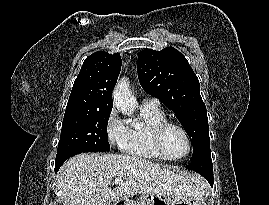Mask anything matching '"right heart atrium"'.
Returning a JSON list of instances; mask_svg holds the SVG:
<instances>
[{"label":"right heart atrium","instance_id":"d8ad5b80","mask_svg":"<svg viewBox=\"0 0 269 205\" xmlns=\"http://www.w3.org/2000/svg\"><path fill=\"white\" fill-rule=\"evenodd\" d=\"M105 133L110 145L123 149L127 144L129 129L120 120L115 109H112L106 118Z\"/></svg>","mask_w":269,"mask_h":205}]
</instances>
